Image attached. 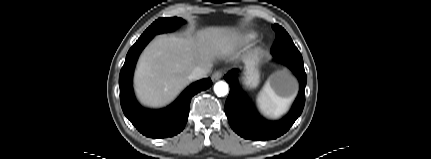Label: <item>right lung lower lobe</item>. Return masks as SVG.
<instances>
[{
	"label": "right lung lower lobe",
	"mask_w": 431,
	"mask_h": 159,
	"mask_svg": "<svg viewBox=\"0 0 431 159\" xmlns=\"http://www.w3.org/2000/svg\"><path fill=\"white\" fill-rule=\"evenodd\" d=\"M152 38L153 36L139 38L127 53L119 77L120 102L125 116L140 133L159 139L172 137L184 129L191 98L200 91L208 89L212 81L206 78L193 83L167 108L148 110L141 107L134 97L132 76L139 54Z\"/></svg>",
	"instance_id": "98d812e1"
}]
</instances>
